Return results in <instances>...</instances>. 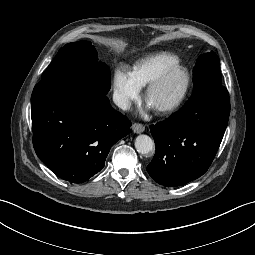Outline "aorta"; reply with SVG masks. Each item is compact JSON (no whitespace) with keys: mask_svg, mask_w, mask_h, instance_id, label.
Masks as SVG:
<instances>
[{"mask_svg":"<svg viewBox=\"0 0 255 255\" xmlns=\"http://www.w3.org/2000/svg\"><path fill=\"white\" fill-rule=\"evenodd\" d=\"M135 148L138 153L147 155L154 150V142L147 135H139L135 140Z\"/></svg>","mask_w":255,"mask_h":255,"instance_id":"aorta-1","label":"aorta"}]
</instances>
